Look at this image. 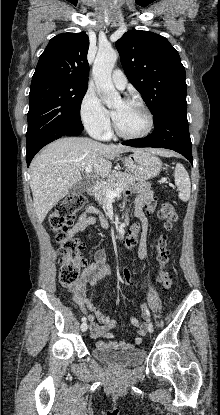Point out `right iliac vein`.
<instances>
[{
    "instance_id": "right-iliac-vein-1",
    "label": "right iliac vein",
    "mask_w": 220,
    "mask_h": 415,
    "mask_svg": "<svg viewBox=\"0 0 220 415\" xmlns=\"http://www.w3.org/2000/svg\"><path fill=\"white\" fill-rule=\"evenodd\" d=\"M80 328H81L82 332H85L88 329V324L84 322V323L81 324Z\"/></svg>"
}]
</instances>
